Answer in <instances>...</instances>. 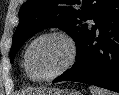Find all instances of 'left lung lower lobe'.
<instances>
[{
	"label": "left lung lower lobe",
	"instance_id": "1",
	"mask_svg": "<svg viewBox=\"0 0 119 95\" xmlns=\"http://www.w3.org/2000/svg\"><path fill=\"white\" fill-rule=\"evenodd\" d=\"M94 21L77 48V62L53 83L83 82L119 93V0H109Z\"/></svg>",
	"mask_w": 119,
	"mask_h": 95
}]
</instances>
